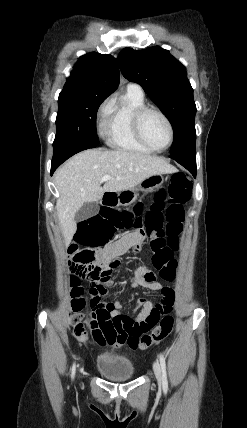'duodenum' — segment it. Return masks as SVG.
<instances>
[{
	"instance_id": "410a0bca",
	"label": "duodenum",
	"mask_w": 247,
	"mask_h": 428,
	"mask_svg": "<svg viewBox=\"0 0 247 428\" xmlns=\"http://www.w3.org/2000/svg\"><path fill=\"white\" fill-rule=\"evenodd\" d=\"M117 194L116 193H106L102 199V203L104 204H116Z\"/></svg>"
}]
</instances>
